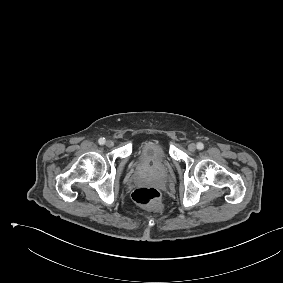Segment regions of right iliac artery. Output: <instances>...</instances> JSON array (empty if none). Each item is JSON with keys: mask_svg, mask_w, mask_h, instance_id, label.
Returning a JSON list of instances; mask_svg holds the SVG:
<instances>
[{"mask_svg": "<svg viewBox=\"0 0 283 283\" xmlns=\"http://www.w3.org/2000/svg\"><path fill=\"white\" fill-rule=\"evenodd\" d=\"M105 138H100L99 140H98V143L100 144V145H104L105 144Z\"/></svg>", "mask_w": 283, "mask_h": 283, "instance_id": "right-iliac-artery-1", "label": "right iliac artery"}]
</instances>
